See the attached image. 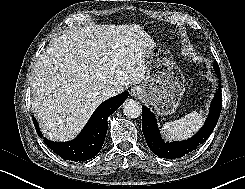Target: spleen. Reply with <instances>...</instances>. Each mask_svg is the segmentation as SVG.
Instances as JSON below:
<instances>
[{
    "instance_id": "obj_1",
    "label": "spleen",
    "mask_w": 245,
    "mask_h": 189,
    "mask_svg": "<svg viewBox=\"0 0 245 189\" xmlns=\"http://www.w3.org/2000/svg\"><path fill=\"white\" fill-rule=\"evenodd\" d=\"M202 110L200 113L193 111L183 118L171 122H166L162 126V133L167 139L181 140L193 135L203 125Z\"/></svg>"
}]
</instances>
